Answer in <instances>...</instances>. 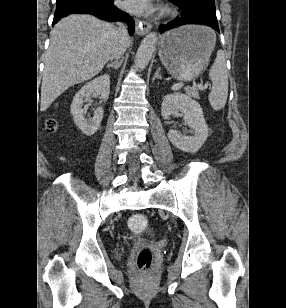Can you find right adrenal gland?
I'll list each match as a JSON object with an SVG mask.
<instances>
[{
  "instance_id": "1",
  "label": "right adrenal gland",
  "mask_w": 286,
  "mask_h": 308,
  "mask_svg": "<svg viewBox=\"0 0 286 308\" xmlns=\"http://www.w3.org/2000/svg\"><path fill=\"white\" fill-rule=\"evenodd\" d=\"M121 64H122V60L120 59L119 61H115V62H113V63H111V64H108V65L106 66V68H113V69L117 70V69H119V67L121 66Z\"/></svg>"
}]
</instances>
